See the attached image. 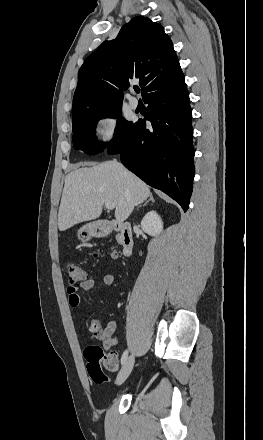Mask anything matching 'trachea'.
<instances>
[{
    "instance_id": "trachea-1",
    "label": "trachea",
    "mask_w": 263,
    "mask_h": 440,
    "mask_svg": "<svg viewBox=\"0 0 263 440\" xmlns=\"http://www.w3.org/2000/svg\"><path fill=\"white\" fill-rule=\"evenodd\" d=\"M134 90H135L136 93L140 92V88L139 87H134Z\"/></svg>"
}]
</instances>
